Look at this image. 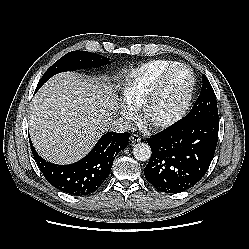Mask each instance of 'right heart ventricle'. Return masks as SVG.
<instances>
[{"mask_svg": "<svg viewBox=\"0 0 249 249\" xmlns=\"http://www.w3.org/2000/svg\"><path fill=\"white\" fill-rule=\"evenodd\" d=\"M177 64L174 60L158 59L130 70L120 85V95L125 105L130 109L140 108L162 74Z\"/></svg>", "mask_w": 249, "mask_h": 249, "instance_id": "1", "label": "right heart ventricle"}]
</instances>
